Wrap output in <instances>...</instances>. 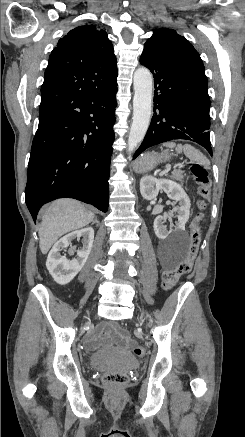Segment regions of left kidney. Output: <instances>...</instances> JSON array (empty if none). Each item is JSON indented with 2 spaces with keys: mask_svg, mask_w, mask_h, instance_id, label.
I'll use <instances>...</instances> for the list:
<instances>
[{
  "mask_svg": "<svg viewBox=\"0 0 245 437\" xmlns=\"http://www.w3.org/2000/svg\"><path fill=\"white\" fill-rule=\"evenodd\" d=\"M160 190L164 191L174 203H178V206H174L173 208V212L178 213V221L174 229L167 230L166 226L163 225L167 216H158L154 220V232L161 240H165L171 235L174 237L183 236L185 233V224L190 215V199L182 186L174 181L157 179L152 176H144L141 178L140 192L144 199H155Z\"/></svg>",
  "mask_w": 245,
  "mask_h": 437,
  "instance_id": "obj_1",
  "label": "left kidney"
}]
</instances>
